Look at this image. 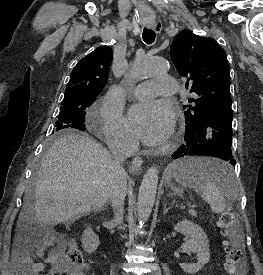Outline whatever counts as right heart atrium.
Segmentation results:
<instances>
[{"instance_id": "d8ad5b80", "label": "right heart atrium", "mask_w": 263, "mask_h": 275, "mask_svg": "<svg viewBox=\"0 0 263 275\" xmlns=\"http://www.w3.org/2000/svg\"><path fill=\"white\" fill-rule=\"evenodd\" d=\"M97 127L110 142L123 146H132L134 138L126 126L119 109L111 102L110 96H105L98 108Z\"/></svg>"}]
</instances>
